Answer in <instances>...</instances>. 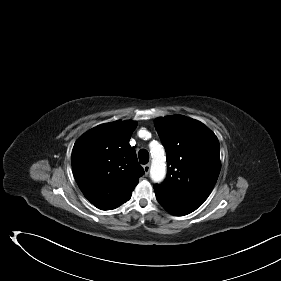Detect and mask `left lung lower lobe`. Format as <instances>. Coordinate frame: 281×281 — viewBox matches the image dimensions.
Returning a JSON list of instances; mask_svg holds the SVG:
<instances>
[{
  "mask_svg": "<svg viewBox=\"0 0 281 281\" xmlns=\"http://www.w3.org/2000/svg\"><path fill=\"white\" fill-rule=\"evenodd\" d=\"M158 202L173 215H187L196 210L201 204L191 201L187 197L179 194L155 193Z\"/></svg>",
  "mask_w": 281,
  "mask_h": 281,
  "instance_id": "obj_1",
  "label": "left lung lower lobe"
}]
</instances>
